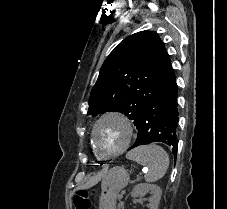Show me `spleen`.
Returning <instances> with one entry per match:
<instances>
[{"instance_id":"3e777b00","label":"spleen","mask_w":227,"mask_h":209,"mask_svg":"<svg viewBox=\"0 0 227 209\" xmlns=\"http://www.w3.org/2000/svg\"><path fill=\"white\" fill-rule=\"evenodd\" d=\"M126 159L136 161L142 167H147L148 171L145 173V181L147 183H154L164 177L169 167V157L158 145H141L132 149L126 155Z\"/></svg>"}]
</instances>
